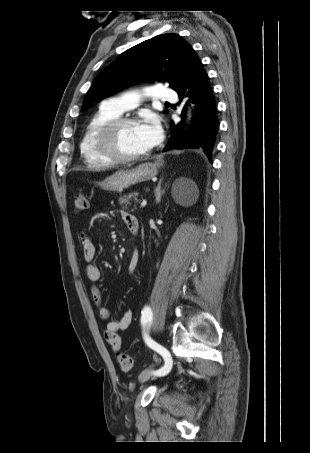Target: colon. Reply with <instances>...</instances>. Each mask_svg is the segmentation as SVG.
I'll list each match as a JSON object with an SVG mask.
<instances>
[{
  "label": "colon",
  "mask_w": 310,
  "mask_h": 453,
  "mask_svg": "<svg viewBox=\"0 0 310 453\" xmlns=\"http://www.w3.org/2000/svg\"><path fill=\"white\" fill-rule=\"evenodd\" d=\"M89 206L88 198L83 193H78L75 196L74 208L77 212L87 210ZM117 362L123 371H129L133 367V359L130 355L125 353L117 354Z\"/></svg>",
  "instance_id": "colon-1"
}]
</instances>
